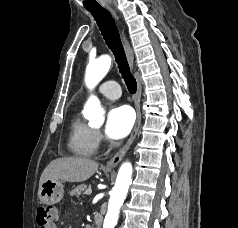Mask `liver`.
Listing matches in <instances>:
<instances>
[{"instance_id": "obj_1", "label": "liver", "mask_w": 238, "mask_h": 228, "mask_svg": "<svg viewBox=\"0 0 238 228\" xmlns=\"http://www.w3.org/2000/svg\"><path fill=\"white\" fill-rule=\"evenodd\" d=\"M99 164L83 157H63L53 160L42 172L39 186L46 180L83 182L97 171Z\"/></svg>"}]
</instances>
